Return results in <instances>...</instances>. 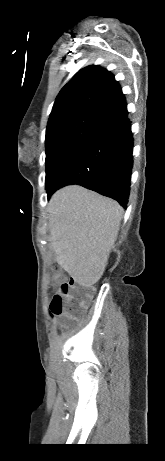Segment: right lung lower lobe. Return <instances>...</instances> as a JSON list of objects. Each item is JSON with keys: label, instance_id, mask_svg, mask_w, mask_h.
<instances>
[{"label": "right lung lower lobe", "instance_id": "right-lung-lower-lobe-1", "mask_svg": "<svg viewBox=\"0 0 165 461\" xmlns=\"http://www.w3.org/2000/svg\"><path fill=\"white\" fill-rule=\"evenodd\" d=\"M133 135L127 109L103 122L73 153L46 186L78 184L117 200L124 208L133 166Z\"/></svg>", "mask_w": 165, "mask_h": 461}]
</instances>
